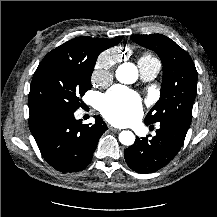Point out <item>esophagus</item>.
<instances>
[{
	"label": "esophagus",
	"mask_w": 217,
	"mask_h": 217,
	"mask_svg": "<svg viewBox=\"0 0 217 217\" xmlns=\"http://www.w3.org/2000/svg\"><path fill=\"white\" fill-rule=\"evenodd\" d=\"M108 128H109V130L114 131V132L119 131V129H117V128L113 127V126H109Z\"/></svg>",
	"instance_id": "obj_1"
}]
</instances>
